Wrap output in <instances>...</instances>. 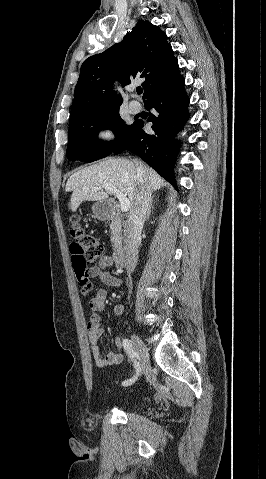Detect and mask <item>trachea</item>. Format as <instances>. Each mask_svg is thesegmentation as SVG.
Here are the masks:
<instances>
[{"mask_svg": "<svg viewBox=\"0 0 266 479\" xmlns=\"http://www.w3.org/2000/svg\"><path fill=\"white\" fill-rule=\"evenodd\" d=\"M142 92H143V89H142V88H137V93H138V94H142Z\"/></svg>", "mask_w": 266, "mask_h": 479, "instance_id": "trachea-1", "label": "trachea"}]
</instances>
